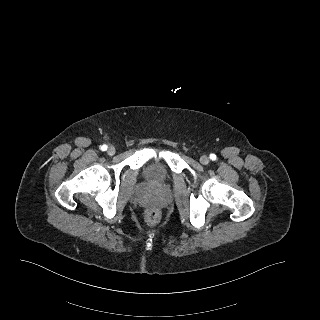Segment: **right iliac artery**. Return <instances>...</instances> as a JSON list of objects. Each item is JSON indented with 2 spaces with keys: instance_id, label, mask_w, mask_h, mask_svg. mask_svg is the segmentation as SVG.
<instances>
[{
  "instance_id": "82829eb1",
  "label": "right iliac artery",
  "mask_w": 320,
  "mask_h": 320,
  "mask_svg": "<svg viewBox=\"0 0 320 320\" xmlns=\"http://www.w3.org/2000/svg\"><path fill=\"white\" fill-rule=\"evenodd\" d=\"M107 148H108L107 145H102V146H101V150H102V151H106Z\"/></svg>"
}]
</instances>
